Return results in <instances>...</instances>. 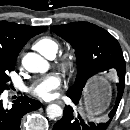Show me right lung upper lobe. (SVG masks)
<instances>
[{"label": "right lung upper lobe", "instance_id": "cb5924a9", "mask_svg": "<svg viewBox=\"0 0 130 130\" xmlns=\"http://www.w3.org/2000/svg\"><path fill=\"white\" fill-rule=\"evenodd\" d=\"M46 29L45 26H28L0 21V51L17 58L27 41Z\"/></svg>", "mask_w": 130, "mask_h": 130}]
</instances>
